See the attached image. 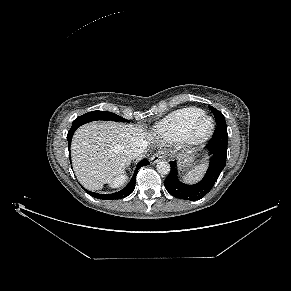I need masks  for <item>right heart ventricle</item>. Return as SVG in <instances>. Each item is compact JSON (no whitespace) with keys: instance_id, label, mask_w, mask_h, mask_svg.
<instances>
[{"instance_id":"e07e8e85","label":"right heart ventricle","mask_w":291,"mask_h":291,"mask_svg":"<svg viewBox=\"0 0 291 291\" xmlns=\"http://www.w3.org/2000/svg\"><path fill=\"white\" fill-rule=\"evenodd\" d=\"M205 112L199 108L189 107L172 112L154 128V135L163 142H175L183 139L192 125Z\"/></svg>"}]
</instances>
